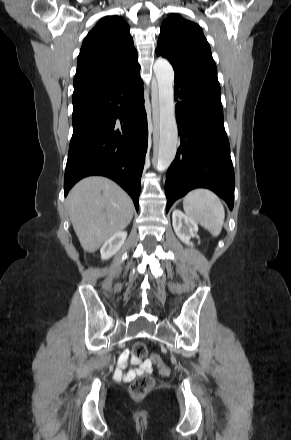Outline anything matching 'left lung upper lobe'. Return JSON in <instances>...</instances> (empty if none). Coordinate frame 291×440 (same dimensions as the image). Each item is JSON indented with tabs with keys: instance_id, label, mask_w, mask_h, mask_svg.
<instances>
[{
	"instance_id": "left-lung-upper-lobe-1",
	"label": "left lung upper lobe",
	"mask_w": 291,
	"mask_h": 440,
	"mask_svg": "<svg viewBox=\"0 0 291 440\" xmlns=\"http://www.w3.org/2000/svg\"><path fill=\"white\" fill-rule=\"evenodd\" d=\"M156 54L167 58L176 74L220 86L210 46L197 24L170 14L162 23Z\"/></svg>"
}]
</instances>
